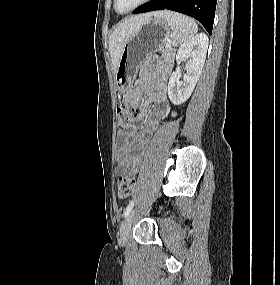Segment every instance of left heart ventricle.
Masks as SVG:
<instances>
[{"label":"left heart ventricle","instance_id":"1","mask_svg":"<svg viewBox=\"0 0 280 285\" xmlns=\"http://www.w3.org/2000/svg\"><path fill=\"white\" fill-rule=\"evenodd\" d=\"M140 0H118L117 3V9L120 12L127 11L131 7H133L135 4H137Z\"/></svg>","mask_w":280,"mask_h":285}]
</instances>
